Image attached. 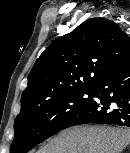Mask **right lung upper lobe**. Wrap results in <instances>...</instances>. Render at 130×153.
I'll return each instance as SVG.
<instances>
[{
    "instance_id": "1",
    "label": "right lung upper lobe",
    "mask_w": 130,
    "mask_h": 153,
    "mask_svg": "<svg viewBox=\"0 0 130 153\" xmlns=\"http://www.w3.org/2000/svg\"><path fill=\"white\" fill-rule=\"evenodd\" d=\"M128 62L127 34L109 19H88L53 42L36 60L19 114L69 93L91 91L104 76Z\"/></svg>"
}]
</instances>
